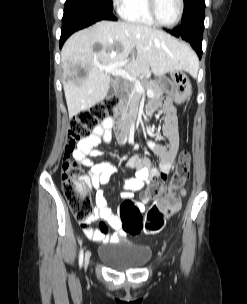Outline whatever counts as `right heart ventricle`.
Returning <instances> with one entry per match:
<instances>
[{
	"label": "right heart ventricle",
	"instance_id": "1",
	"mask_svg": "<svg viewBox=\"0 0 247 304\" xmlns=\"http://www.w3.org/2000/svg\"><path fill=\"white\" fill-rule=\"evenodd\" d=\"M122 17L133 23L152 26L154 21L149 15L147 0H130L121 11Z\"/></svg>",
	"mask_w": 247,
	"mask_h": 304
}]
</instances>
